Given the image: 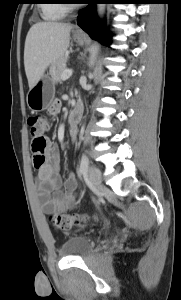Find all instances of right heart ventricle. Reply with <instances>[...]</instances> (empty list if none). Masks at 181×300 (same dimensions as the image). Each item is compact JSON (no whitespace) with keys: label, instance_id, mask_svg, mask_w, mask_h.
<instances>
[{"label":"right heart ventricle","instance_id":"obj_1","mask_svg":"<svg viewBox=\"0 0 181 300\" xmlns=\"http://www.w3.org/2000/svg\"><path fill=\"white\" fill-rule=\"evenodd\" d=\"M40 6L41 16L46 21H57L66 15V6L58 0H45Z\"/></svg>","mask_w":181,"mask_h":300}]
</instances>
